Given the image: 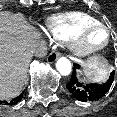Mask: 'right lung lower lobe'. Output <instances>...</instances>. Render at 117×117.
<instances>
[{"label":"right lung lower lobe","instance_id":"obj_1","mask_svg":"<svg viewBox=\"0 0 117 117\" xmlns=\"http://www.w3.org/2000/svg\"><path fill=\"white\" fill-rule=\"evenodd\" d=\"M23 94H24V92L22 94H20L18 97H16L13 100H11L10 102L0 101V104L1 103H5V104H8V105L17 104L23 98Z\"/></svg>","mask_w":117,"mask_h":117}]
</instances>
